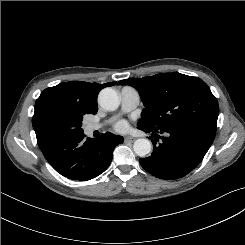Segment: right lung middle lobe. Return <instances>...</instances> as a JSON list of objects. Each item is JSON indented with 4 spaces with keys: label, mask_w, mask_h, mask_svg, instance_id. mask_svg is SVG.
<instances>
[{
    "label": "right lung middle lobe",
    "mask_w": 245,
    "mask_h": 245,
    "mask_svg": "<svg viewBox=\"0 0 245 245\" xmlns=\"http://www.w3.org/2000/svg\"><path fill=\"white\" fill-rule=\"evenodd\" d=\"M85 114H96L67 100L59 94L40 95L35 103L33 128L51 140L83 133Z\"/></svg>",
    "instance_id": "1"
}]
</instances>
